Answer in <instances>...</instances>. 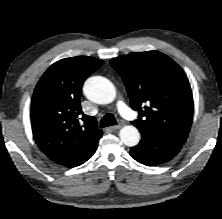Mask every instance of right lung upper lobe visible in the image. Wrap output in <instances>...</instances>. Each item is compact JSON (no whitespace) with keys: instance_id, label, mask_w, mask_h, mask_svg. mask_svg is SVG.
I'll list each match as a JSON object with an SVG mask.
<instances>
[{"instance_id":"cb5924a9","label":"right lung upper lobe","mask_w":222,"mask_h":219,"mask_svg":"<svg viewBox=\"0 0 222 219\" xmlns=\"http://www.w3.org/2000/svg\"><path fill=\"white\" fill-rule=\"evenodd\" d=\"M94 57H71L55 62L39 80L31 101V126L41 151L54 162L76 167L102 136L96 119L80 107L82 85L100 68Z\"/></svg>"}]
</instances>
